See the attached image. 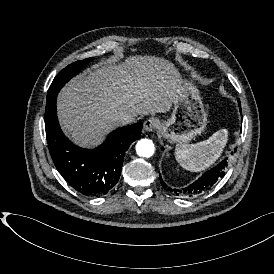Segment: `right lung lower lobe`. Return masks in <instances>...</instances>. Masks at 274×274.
I'll return each instance as SVG.
<instances>
[{
    "mask_svg": "<svg viewBox=\"0 0 274 274\" xmlns=\"http://www.w3.org/2000/svg\"><path fill=\"white\" fill-rule=\"evenodd\" d=\"M57 94L47 97L45 130L52 160L70 186L85 196H103L118 183L129 145L141 136L142 122L119 128L93 150L82 149L63 134L57 119Z\"/></svg>",
    "mask_w": 274,
    "mask_h": 274,
    "instance_id": "98d812e1",
    "label": "right lung lower lobe"
}]
</instances>
